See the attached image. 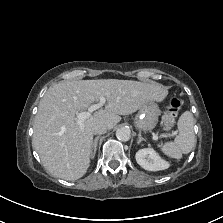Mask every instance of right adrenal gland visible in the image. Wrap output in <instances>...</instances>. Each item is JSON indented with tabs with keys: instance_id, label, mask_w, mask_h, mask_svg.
Returning a JSON list of instances; mask_svg holds the SVG:
<instances>
[{
	"instance_id": "right-adrenal-gland-1",
	"label": "right adrenal gland",
	"mask_w": 223,
	"mask_h": 223,
	"mask_svg": "<svg viewBox=\"0 0 223 223\" xmlns=\"http://www.w3.org/2000/svg\"><path fill=\"white\" fill-rule=\"evenodd\" d=\"M98 139H99V136H97V137L94 139V142H93V144H92L91 158H94V156H95V154H96Z\"/></svg>"
}]
</instances>
